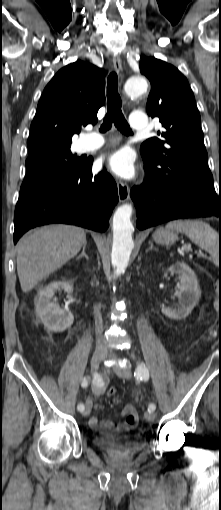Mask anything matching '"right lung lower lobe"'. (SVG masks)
<instances>
[{"label":"right lung lower lobe","instance_id":"98d812e1","mask_svg":"<svg viewBox=\"0 0 221 510\" xmlns=\"http://www.w3.org/2000/svg\"><path fill=\"white\" fill-rule=\"evenodd\" d=\"M93 159L72 179L42 186L17 203L14 243L29 229L50 223H66L95 231L107 229L118 202L117 186L105 170L92 174Z\"/></svg>","mask_w":221,"mask_h":510}]
</instances>
